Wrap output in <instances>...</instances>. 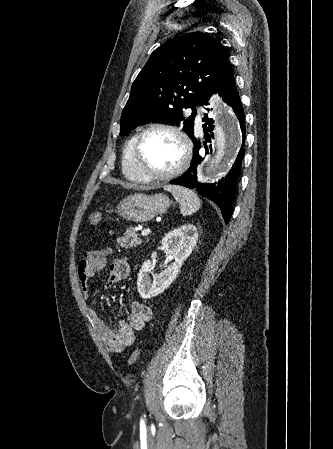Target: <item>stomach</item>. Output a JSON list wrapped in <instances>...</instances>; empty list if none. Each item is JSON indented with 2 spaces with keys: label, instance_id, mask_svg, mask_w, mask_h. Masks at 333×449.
<instances>
[{
  "label": "stomach",
  "instance_id": "obj_1",
  "mask_svg": "<svg viewBox=\"0 0 333 449\" xmlns=\"http://www.w3.org/2000/svg\"><path fill=\"white\" fill-rule=\"evenodd\" d=\"M170 204L169 198L161 193L150 196L134 194L122 200L115 212L128 221L142 223L164 213Z\"/></svg>",
  "mask_w": 333,
  "mask_h": 449
}]
</instances>
